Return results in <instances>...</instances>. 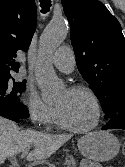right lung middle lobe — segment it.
Returning a JSON list of instances; mask_svg holds the SVG:
<instances>
[{
	"label": "right lung middle lobe",
	"mask_w": 125,
	"mask_h": 167,
	"mask_svg": "<svg viewBox=\"0 0 125 167\" xmlns=\"http://www.w3.org/2000/svg\"><path fill=\"white\" fill-rule=\"evenodd\" d=\"M25 90V81L17 82L11 75L0 76V100L21 103V94Z\"/></svg>",
	"instance_id": "obj_1"
}]
</instances>
